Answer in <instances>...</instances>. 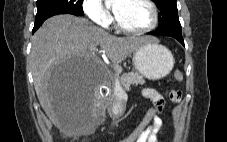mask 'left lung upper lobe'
Segmentation results:
<instances>
[{"label": "left lung upper lobe", "mask_w": 227, "mask_h": 142, "mask_svg": "<svg viewBox=\"0 0 227 142\" xmlns=\"http://www.w3.org/2000/svg\"><path fill=\"white\" fill-rule=\"evenodd\" d=\"M159 8V26L157 30L181 33L176 0H154Z\"/></svg>", "instance_id": "1"}]
</instances>
